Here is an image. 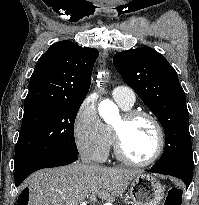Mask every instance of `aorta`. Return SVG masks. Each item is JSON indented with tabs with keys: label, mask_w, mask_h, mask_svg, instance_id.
Masks as SVG:
<instances>
[{
	"label": "aorta",
	"mask_w": 199,
	"mask_h": 205,
	"mask_svg": "<svg viewBox=\"0 0 199 205\" xmlns=\"http://www.w3.org/2000/svg\"><path fill=\"white\" fill-rule=\"evenodd\" d=\"M114 110H116V106L108 99L103 100L99 106V113L103 118H106L107 114Z\"/></svg>",
	"instance_id": "762f6f07"
}]
</instances>
